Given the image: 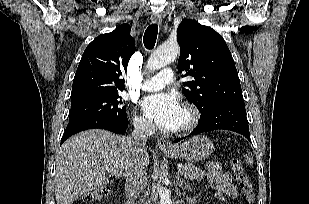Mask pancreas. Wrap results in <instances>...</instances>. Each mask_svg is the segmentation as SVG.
I'll return each mask as SVG.
<instances>
[{
	"label": "pancreas",
	"mask_w": 309,
	"mask_h": 204,
	"mask_svg": "<svg viewBox=\"0 0 309 204\" xmlns=\"http://www.w3.org/2000/svg\"><path fill=\"white\" fill-rule=\"evenodd\" d=\"M184 176L190 180H201L205 176V171L198 167L187 164L183 167Z\"/></svg>",
	"instance_id": "obj_1"
}]
</instances>
